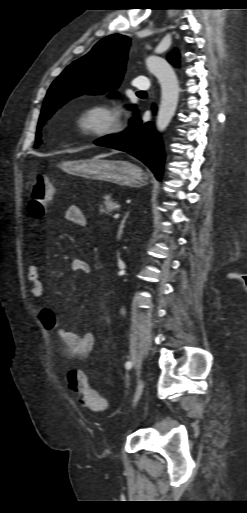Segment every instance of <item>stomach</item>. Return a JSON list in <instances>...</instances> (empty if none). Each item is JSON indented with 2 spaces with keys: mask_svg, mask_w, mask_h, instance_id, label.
Wrapping results in <instances>:
<instances>
[{
  "mask_svg": "<svg viewBox=\"0 0 247 513\" xmlns=\"http://www.w3.org/2000/svg\"><path fill=\"white\" fill-rule=\"evenodd\" d=\"M58 167L88 179L106 181L120 186L138 187L146 181L143 170L125 160L91 158L65 161L58 164Z\"/></svg>",
  "mask_w": 247,
  "mask_h": 513,
  "instance_id": "stomach-1",
  "label": "stomach"
}]
</instances>
